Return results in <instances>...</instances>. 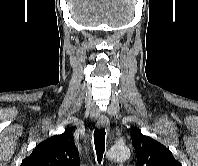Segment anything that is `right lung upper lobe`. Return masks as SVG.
<instances>
[{
  "mask_svg": "<svg viewBox=\"0 0 198 166\" xmlns=\"http://www.w3.org/2000/svg\"><path fill=\"white\" fill-rule=\"evenodd\" d=\"M79 153L71 129L38 144L21 166H79Z\"/></svg>",
  "mask_w": 198,
  "mask_h": 166,
  "instance_id": "right-lung-upper-lobe-1",
  "label": "right lung upper lobe"
}]
</instances>
